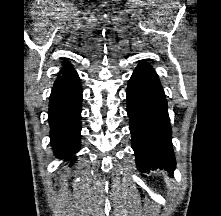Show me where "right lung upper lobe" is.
Wrapping results in <instances>:
<instances>
[{"label": "right lung upper lobe", "mask_w": 221, "mask_h": 216, "mask_svg": "<svg viewBox=\"0 0 221 216\" xmlns=\"http://www.w3.org/2000/svg\"><path fill=\"white\" fill-rule=\"evenodd\" d=\"M71 70H74V68L72 67V65L70 64V62L68 61H65L63 63V67L62 69L60 70L59 74H63V73H66V72H69Z\"/></svg>", "instance_id": "obj_1"}]
</instances>
